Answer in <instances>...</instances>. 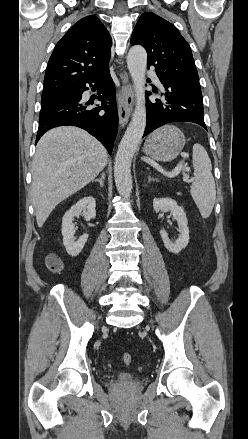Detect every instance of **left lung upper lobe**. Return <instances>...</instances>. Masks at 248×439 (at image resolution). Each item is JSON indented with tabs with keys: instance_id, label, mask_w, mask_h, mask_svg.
<instances>
[{
	"instance_id": "left-lung-upper-lobe-1",
	"label": "left lung upper lobe",
	"mask_w": 248,
	"mask_h": 439,
	"mask_svg": "<svg viewBox=\"0 0 248 439\" xmlns=\"http://www.w3.org/2000/svg\"><path fill=\"white\" fill-rule=\"evenodd\" d=\"M131 44L146 49L148 67L154 66L157 76L201 90L190 46L170 22L154 13H143Z\"/></svg>"
}]
</instances>
